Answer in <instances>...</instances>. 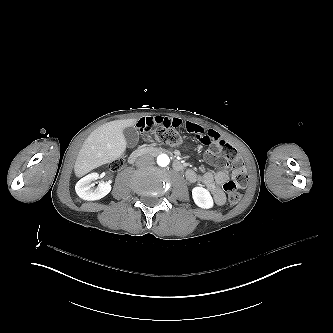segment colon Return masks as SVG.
<instances>
[{
	"mask_svg": "<svg viewBox=\"0 0 333 333\" xmlns=\"http://www.w3.org/2000/svg\"><path fill=\"white\" fill-rule=\"evenodd\" d=\"M189 129L190 135L193 138L199 139L205 145L212 144L216 140V132L213 129H206L203 132V128L200 125H192ZM149 133H153L156 140L161 144L178 145L181 143V136L177 130L166 128ZM215 144V147L218 148L223 155V158L220 159L221 166L231 169L234 173V177L224 184V190L227 194L228 203L235 205L241 199L239 190L241 189L242 182L247 178L244 163L238 157L237 151L225 140H219ZM110 167L116 170L119 164L113 162L110 164Z\"/></svg>",
	"mask_w": 333,
	"mask_h": 333,
	"instance_id": "obj_1",
	"label": "colon"
}]
</instances>
